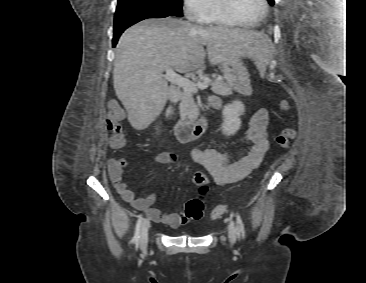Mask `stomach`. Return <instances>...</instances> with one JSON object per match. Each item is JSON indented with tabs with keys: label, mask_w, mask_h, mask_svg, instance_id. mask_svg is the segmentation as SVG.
I'll list each match as a JSON object with an SVG mask.
<instances>
[{
	"label": "stomach",
	"mask_w": 366,
	"mask_h": 283,
	"mask_svg": "<svg viewBox=\"0 0 366 283\" xmlns=\"http://www.w3.org/2000/svg\"><path fill=\"white\" fill-rule=\"evenodd\" d=\"M221 68L227 84L235 90H242L241 74L247 72L240 57L222 62Z\"/></svg>",
	"instance_id": "1"
}]
</instances>
